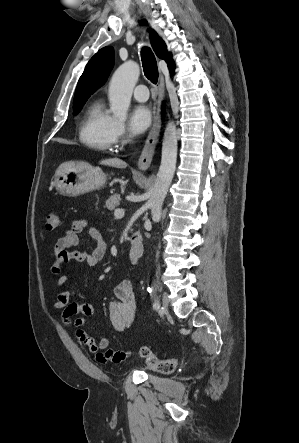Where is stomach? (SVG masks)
I'll list each match as a JSON object with an SVG mask.
<instances>
[{"instance_id": "0dacf381", "label": "stomach", "mask_w": 299, "mask_h": 443, "mask_svg": "<svg viewBox=\"0 0 299 443\" xmlns=\"http://www.w3.org/2000/svg\"><path fill=\"white\" fill-rule=\"evenodd\" d=\"M106 180L100 168L83 162H67L57 169L54 185L63 196H78L103 187Z\"/></svg>"}]
</instances>
